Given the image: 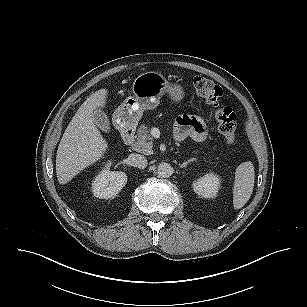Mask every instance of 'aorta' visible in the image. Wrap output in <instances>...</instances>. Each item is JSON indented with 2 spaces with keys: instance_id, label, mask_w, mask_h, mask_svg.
I'll return each mask as SVG.
<instances>
[{
  "instance_id": "762f6f07",
  "label": "aorta",
  "mask_w": 307,
  "mask_h": 307,
  "mask_svg": "<svg viewBox=\"0 0 307 307\" xmlns=\"http://www.w3.org/2000/svg\"><path fill=\"white\" fill-rule=\"evenodd\" d=\"M157 173L161 178H168L172 175L173 168L170 164L164 162L158 165Z\"/></svg>"
}]
</instances>
